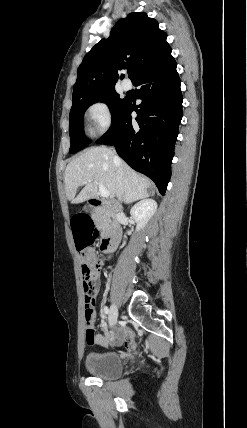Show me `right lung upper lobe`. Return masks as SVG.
Segmentation results:
<instances>
[{
	"mask_svg": "<svg viewBox=\"0 0 247 428\" xmlns=\"http://www.w3.org/2000/svg\"><path fill=\"white\" fill-rule=\"evenodd\" d=\"M167 34L144 12L130 13L84 57L74 85L72 100L113 89L117 70L131 68L132 82L171 56ZM123 78V75L121 76Z\"/></svg>",
	"mask_w": 247,
	"mask_h": 428,
	"instance_id": "right-lung-upper-lobe-1",
	"label": "right lung upper lobe"
}]
</instances>
